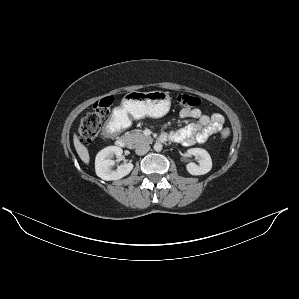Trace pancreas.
I'll list each match as a JSON object with an SVG mask.
<instances>
[{
    "label": "pancreas",
    "instance_id": "1",
    "mask_svg": "<svg viewBox=\"0 0 299 299\" xmlns=\"http://www.w3.org/2000/svg\"><path fill=\"white\" fill-rule=\"evenodd\" d=\"M127 141L131 147L136 146L143 142H150L152 139L149 136H145L139 131L131 132L126 135Z\"/></svg>",
    "mask_w": 299,
    "mask_h": 299
}]
</instances>
